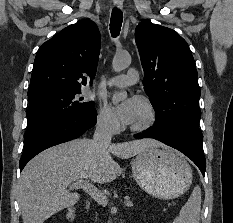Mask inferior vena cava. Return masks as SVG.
<instances>
[{
  "label": "inferior vena cava",
  "instance_id": "inferior-vena-cava-1",
  "mask_svg": "<svg viewBox=\"0 0 233 223\" xmlns=\"http://www.w3.org/2000/svg\"><path fill=\"white\" fill-rule=\"evenodd\" d=\"M118 123V119H112V117H108V115H105V117H98L92 139L95 149H102L103 145H109V143H111Z\"/></svg>",
  "mask_w": 233,
  "mask_h": 223
}]
</instances>
